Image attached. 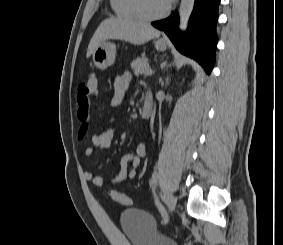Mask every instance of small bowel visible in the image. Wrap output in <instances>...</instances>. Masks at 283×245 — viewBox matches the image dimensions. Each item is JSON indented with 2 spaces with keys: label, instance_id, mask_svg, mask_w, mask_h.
Returning a JSON list of instances; mask_svg holds the SVG:
<instances>
[{
  "label": "small bowel",
  "instance_id": "small-bowel-1",
  "mask_svg": "<svg viewBox=\"0 0 283 245\" xmlns=\"http://www.w3.org/2000/svg\"><path fill=\"white\" fill-rule=\"evenodd\" d=\"M130 74L124 73L116 77L114 81V93L110 101L112 108L117 107L123 100V97L127 91L130 83ZM117 126L112 121L102 131L95 133L90 138V144L85 149V155L91 157L95 149L98 148L102 151H106L111 148L113 138L116 134ZM147 154L145 142L138 145L134 152L128 153L121 158L120 171L110 179L111 184H118L122 181L129 179L132 180L137 175V169L141 163L143 157ZM130 165V166H129ZM84 177L95 186H103L106 183V178L101 175H96L90 170L84 171Z\"/></svg>",
  "mask_w": 283,
  "mask_h": 245
}]
</instances>
